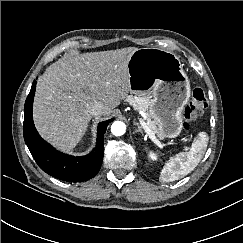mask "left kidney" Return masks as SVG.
I'll list each match as a JSON object with an SVG mask.
<instances>
[{"label": "left kidney", "mask_w": 243, "mask_h": 243, "mask_svg": "<svg viewBox=\"0 0 243 243\" xmlns=\"http://www.w3.org/2000/svg\"><path fill=\"white\" fill-rule=\"evenodd\" d=\"M149 157H150L152 160H157V155H156L154 152H150V153H149Z\"/></svg>", "instance_id": "1"}]
</instances>
